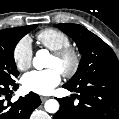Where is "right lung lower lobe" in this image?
<instances>
[{"label":"right lung lower lobe","instance_id":"right-lung-lower-lobe-1","mask_svg":"<svg viewBox=\"0 0 119 119\" xmlns=\"http://www.w3.org/2000/svg\"><path fill=\"white\" fill-rule=\"evenodd\" d=\"M18 87L15 81L9 84L0 82V119H29L32 111L41 104L39 96L33 92L14 103H5L4 98L11 97L10 94Z\"/></svg>","mask_w":119,"mask_h":119}]
</instances>
